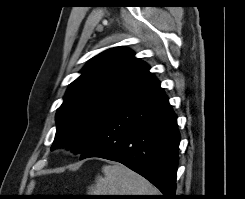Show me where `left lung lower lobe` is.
<instances>
[{"mask_svg":"<svg viewBox=\"0 0 245 199\" xmlns=\"http://www.w3.org/2000/svg\"><path fill=\"white\" fill-rule=\"evenodd\" d=\"M180 136L177 118L155 80L110 118L80 159L117 161L174 199Z\"/></svg>","mask_w":245,"mask_h":199,"instance_id":"0a47b994","label":"left lung lower lobe"}]
</instances>
